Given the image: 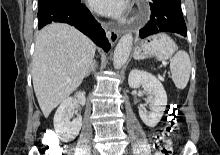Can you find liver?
Listing matches in <instances>:
<instances>
[{"instance_id": "1", "label": "liver", "mask_w": 220, "mask_h": 155, "mask_svg": "<svg viewBox=\"0 0 220 155\" xmlns=\"http://www.w3.org/2000/svg\"><path fill=\"white\" fill-rule=\"evenodd\" d=\"M94 43L68 24L38 34L32 60L34 91L45 118L82 83L95 55Z\"/></svg>"}]
</instances>
